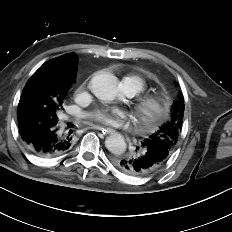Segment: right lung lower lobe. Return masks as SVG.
<instances>
[{"instance_id":"98d812e1","label":"right lung lower lobe","mask_w":232,"mask_h":232,"mask_svg":"<svg viewBox=\"0 0 232 232\" xmlns=\"http://www.w3.org/2000/svg\"><path fill=\"white\" fill-rule=\"evenodd\" d=\"M20 135L27 148L33 154L41 157H54L63 154L74 142L73 135L63 131L59 126L48 129L37 124Z\"/></svg>"}]
</instances>
